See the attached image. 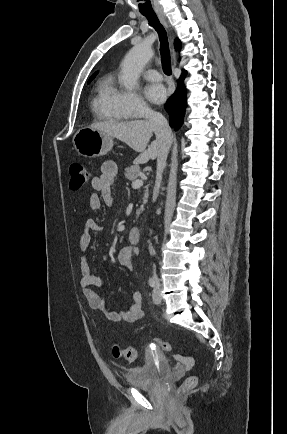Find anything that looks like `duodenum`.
I'll return each instance as SVG.
<instances>
[{"instance_id":"410a0bca","label":"duodenum","mask_w":287,"mask_h":434,"mask_svg":"<svg viewBox=\"0 0 287 434\" xmlns=\"http://www.w3.org/2000/svg\"><path fill=\"white\" fill-rule=\"evenodd\" d=\"M141 233L139 228L133 227L129 230L128 239L132 244H137L140 241Z\"/></svg>"}]
</instances>
